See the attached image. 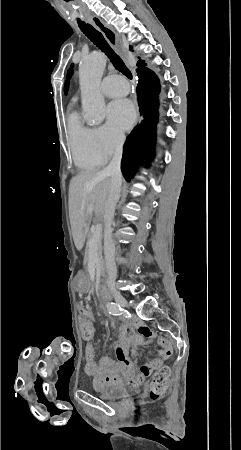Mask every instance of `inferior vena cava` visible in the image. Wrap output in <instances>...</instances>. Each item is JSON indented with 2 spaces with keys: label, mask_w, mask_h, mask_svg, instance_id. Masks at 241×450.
<instances>
[{
  "label": "inferior vena cava",
  "mask_w": 241,
  "mask_h": 450,
  "mask_svg": "<svg viewBox=\"0 0 241 450\" xmlns=\"http://www.w3.org/2000/svg\"><path fill=\"white\" fill-rule=\"evenodd\" d=\"M125 142V136H121L116 140L115 154L113 156L112 162H110L107 168H104L103 174L105 176H111V188L110 196L107 204L108 212V222H105L104 230V256L105 264L108 276V286L110 288H115V280L117 276V268L115 264V246L112 238V220L114 218L115 206L120 198V188L122 184V174L120 170L122 154H123V144Z\"/></svg>",
  "instance_id": "602c4592"
}]
</instances>
